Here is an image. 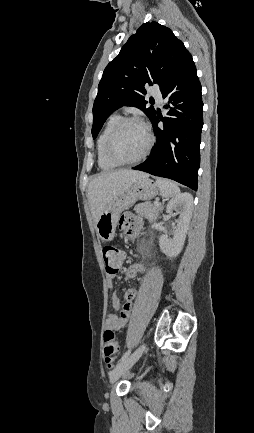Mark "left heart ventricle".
Instances as JSON below:
<instances>
[{
  "mask_svg": "<svg viewBox=\"0 0 254 433\" xmlns=\"http://www.w3.org/2000/svg\"><path fill=\"white\" fill-rule=\"evenodd\" d=\"M147 144L144 128L137 123L126 124L117 134L113 143V153L121 160L138 157Z\"/></svg>",
  "mask_w": 254,
  "mask_h": 433,
  "instance_id": "obj_1",
  "label": "left heart ventricle"
}]
</instances>
